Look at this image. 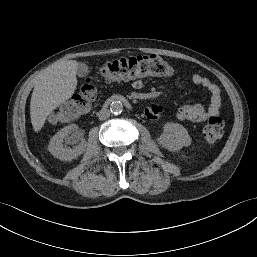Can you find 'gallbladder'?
I'll list each match as a JSON object with an SVG mask.
<instances>
[{"mask_svg": "<svg viewBox=\"0 0 257 257\" xmlns=\"http://www.w3.org/2000/svg\"><path fill=\"white\" fill-rule=\"evenodd\" d=\"M88 73H89V67L85 63H83V62L78 63L77 75L79 77H84Z\"/></svg>", "mask_w": 257, "mask_h": 257, "instance_id": "1", "label": "gallbladder"}]
</instances>
